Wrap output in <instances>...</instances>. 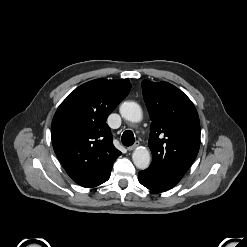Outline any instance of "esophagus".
I'll list each match as a JSON object with an SVG mask.
<instances>
[{"mask_svg": "<svg viewBox=\"0 0 247 247\" xmlns=\"http://www.w3.org/2000/svg\"><path fill=\"white\" fill-rule=\"evenodd\" d=\"M139 141H136L132 146H129L127 149L129 150V151H132V150H134L135 148H137L138 146H139Z\"/></svg>", "mask_w": 247, "mask_h": 247, "instance_id": "1", "label": "esophagus"}]
</instances>
